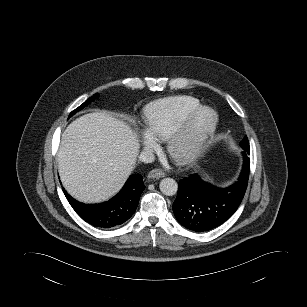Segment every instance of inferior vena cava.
<instances>
[{"mask_svg": "<svg viewBox=\"0 0 307 307\" xmlns=\"http://www.w3.org/2000/svg\"><path fill=\"white\" fill-rule=\"evenodd\" d=\"M155 159L154 154L151 151L144 150L139 155V160L143 163H152Z\"/></svg>", "mask_w": 307, "mask_h": 307, "instance_id": "1", "label": "inferior vena cava"}]
</instances>
